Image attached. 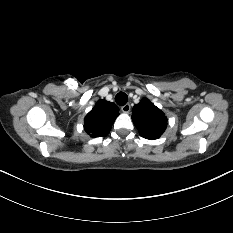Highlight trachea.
Here are the masks:
<instances>
[{
  "mask_svg": "<svg viewBox=\"0 0 233 233\" xmlns=\"http://www.w3.org/2000/svg\"><path fill=\"white\" fill-rule=\"evenodd\" d=\"M127 101H128V96L124 92H119L115 97V102L120 106L125 105Z\"/></svg>",
  "mask_w": 233,
  "mask_h": 233,
  "instance_id": "trachea-1",
  "label": "trachea"
}]
</instances>
